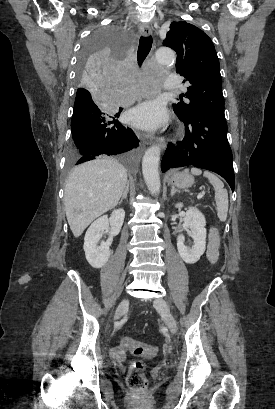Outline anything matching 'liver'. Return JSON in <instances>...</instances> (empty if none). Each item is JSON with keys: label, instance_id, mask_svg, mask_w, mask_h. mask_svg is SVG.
Masks as SVG:
<instances>
[{"label": "liver", "instance_id": "liver-1", "mask_svg": "<svg viewBox=\"0 0 275 409\" xmlns=\"http://www.w3.org/2000/svg\"><path fill=\"white\" fill-rule=\"evenodd\" d=\"M127 182L125 166L114 158H96L73 168L65 184L64 205L76 239L94 219L118 205Z\"/></svg>", "mask_w": 275, "mask_h": 409}]
</instances>
